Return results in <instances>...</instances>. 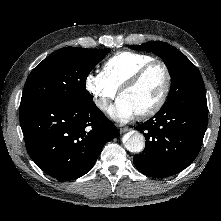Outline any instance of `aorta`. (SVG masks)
<instances>
[{
	"mask_svg": "<svg viewBox=\"0 0 221 221\" xmlns=\"http://www.w3.org/2000/svg\"><path fill=\"white\" fill-rule=\"evenodd\" d=\"M145 138L138 131H132L128 134L125 142V148L132 153H139L144 149Z\"/></svg>",
	"mask_w": 221,
	"mask_h": 221,
	"instance_id": "aorta-1",
	"label": "aorta"
}]
</instances>
